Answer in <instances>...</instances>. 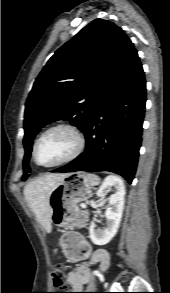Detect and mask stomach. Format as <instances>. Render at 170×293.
I'll return each instance as SVG.
<instances>
[{"label": "stomach", "instance_id": "0dacf381", "mask_svg": "<svg viewBox=\"0 0 170 293\" xmlns=\"http://www.w3.org/2000/svg\"><path fill=\"white\" fill-rule=\"evenodd\" d=\"M91 193L92 184L85 173L67 174L51 191V222L58 227L71 225L80 214L78 204L86 201Z\"/></svg>", "mask_w": 170, "mask_h": 293}]
</instances>
